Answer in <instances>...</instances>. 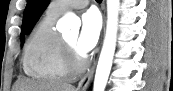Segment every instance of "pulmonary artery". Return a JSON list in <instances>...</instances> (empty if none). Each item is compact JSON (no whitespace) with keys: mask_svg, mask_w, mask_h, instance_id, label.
Wrapping results in <instances>:
<instances>
[{"mask_svg":"<svg viewBox=\"0 0 173 91\" xmlns=\"http://www.w3.org/2000/svg\"><path fill=\"white\" fill-rule=\"evenodd\" d=\"M89 3L88 0H59L53 1L49 7V11L60 15L70 9L84 8Z\"/></svg>","mask_w":173,"mask_h":91,"instance_id":"e3ab8cb5","label":"pulmonary artery"}]
</instances>
